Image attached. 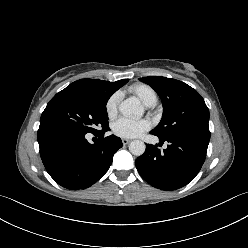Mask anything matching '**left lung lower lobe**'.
Wrapping results in <instances>:
<instances>
[{"label":"left lung lower lobe","mask_w":248,"mask_h":248,"mask_svg":"<svg viewBox=\"0 0 248 248\" xmlns=\"http://www.w3.org/2000/svg\"><path fill=\"white\" fill-rule=\"evenodd\" d=\"M159 140L167 141V148L160 151L147 144L145 153L135 161L139 174L161 190H176L187 185L205 161L210 132H182Z\"/></svg>","instance_id":"obj_1"}]
</instances>
